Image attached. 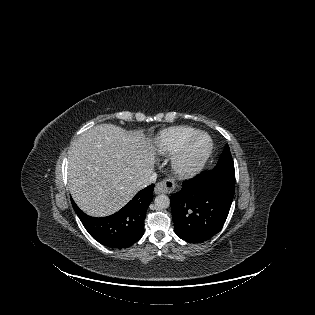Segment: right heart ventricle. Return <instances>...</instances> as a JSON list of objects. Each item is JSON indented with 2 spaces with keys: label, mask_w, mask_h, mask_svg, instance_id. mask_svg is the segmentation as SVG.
<instances>
[{
  "label": "right heart ventricle",
  "mask_w": 315,
  "mask_h": 315,
  "mask_svg": "<svg viewBox=\"0 0 315 315\" xmlns=\"http://www.w3.org/2000/svg\"><path fill=\"white\" fill-rule=\"evenodd\" d=\"M199 130L189 126H175L162 130L154 140L158 154L167 156L177 153Z\"/></svg>",
  "instance_id": "obj_1"
}]
</instances>
